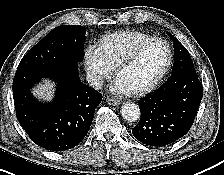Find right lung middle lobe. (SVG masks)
I'll list each match as a JSON object with an SVG mask.
<instances>
[{
    "mask_svg": "<svg viewBox=\"0 0 224 175\" xmlns=\"http://www.w3.org/2000/svg\"><path fill=\"white\" fill-rule=\"evenodd\" d=\"M85 32L86 29L80 25H63L54 28L22 58L18 69L77 65L84 57Z\"/></svg>",
    "mask_w": 224,
    "mask_h": 175,
    "instance_id": "dd1d6c3e",
    "label": "right lung middle lobe"
}]
</instances>
